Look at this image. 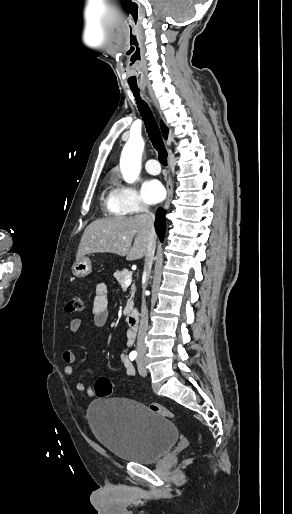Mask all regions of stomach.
Segmentation results:
<instances>
[{"label":"stomach","instance_id":"0dacf381","mask_svg":"<svg viewBox=\"0 0 292 514\" xmlns=\"http://www.w3.org/2000/svg\"><path fill=\"white\" fill-rule=\"evenodd\" d=\"M91 270V262L87 256L77 258L76 262H74L72 266V274L73 276H76V278H84V276H88Z\"/></svg>","mask_w":292,"mask_h":514}]
</instances>
